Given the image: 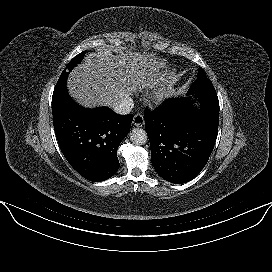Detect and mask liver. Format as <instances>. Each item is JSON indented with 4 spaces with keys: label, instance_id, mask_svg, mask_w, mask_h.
<instances>
[{
    "label": "liver",
    "instance_id": "1",
    "mask_svg": "<svg viewBox=\"0 0 272 272\" xmlns=\"http://www.w3.org/2000/svg\"><path fill=\"white\" fill-rule=\"evenodd\" d=\"M154 63L152 55L122 47H100L70 72L69 94L84 107H111L150 86Z\"/></svg>",
    "mask_w": 272,
    "mask_h": 272
}]
</instances>
